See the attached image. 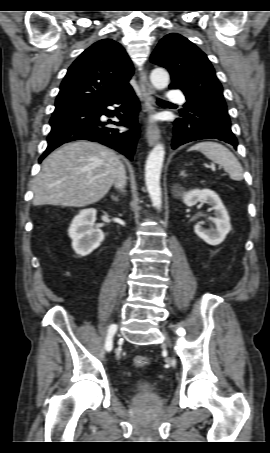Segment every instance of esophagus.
Returning a JSON list of instances; mask_svg holds the SVG:
<instances>
[{"label":"esophagus","instance_id":"1","mask_svg":"<svg viewBox=\"0 0 270 453\" xmlns=\"http://www.w3.org/2000/svg\"><path fill=\"white\" fill-rule=\"evenodd\" d=\"M139 86L142 93V97L144 100L145 108L148 115H151L155 112V103H154V95L155 90L151 83L148 80L147 72L143 71L139 75ZM160 136L159 128L149 123L146 129V139L149 146H153L157 143Z\"/></svg>","mask_w":270,"mask_h":453}]
</instances>
